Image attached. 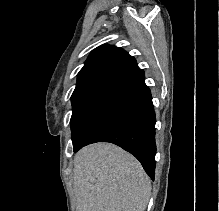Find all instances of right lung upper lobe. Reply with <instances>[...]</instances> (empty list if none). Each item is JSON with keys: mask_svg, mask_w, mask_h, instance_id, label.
<instances>
[{"mask_svg": "<svg viewBox=\"0 0 219 211\" xmlns=\"http://www.w3.org/2000/svg\"><path fill=\"white\" fill-rule=\"evenodd\" d=\"M139 70L135 59L123 49L102 45L92 51L78 73L72 96L99 88L112 89Z\"/></svg>", "mask_w": 219, "mask_h": 211, "instance_id": "right-lung-upper-lobe-1", "label": "right lung upper lobe"}]
</instances>
